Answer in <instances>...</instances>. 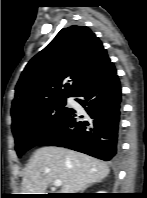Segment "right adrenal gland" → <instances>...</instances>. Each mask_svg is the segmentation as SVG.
<instances>
[{"mask_svg":"<svg viewBox=\"0 0 147 198\" xmlns=\"http://www.w3.org/2000/svg\"><path fill=\"white\" fill-rule=\"evenodd\" d=\"M92 184H93V183H90V184L86 185V186L82 189V193H83V191H84L85 189H87L88 187H90Z\"/></svg>","mask_w":147,"mask_h":198,"instance_id":"2a0ac1e0","label":"right adrenal gland"}]
</instances>
